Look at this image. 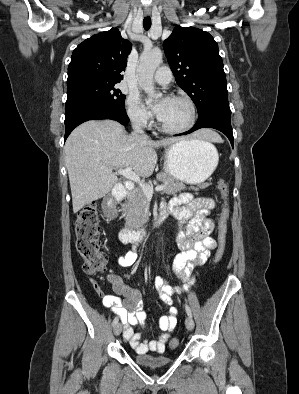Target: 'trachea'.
Here are the masks:
<instances>
[{
    "mask_svg": "<svg viewBox=\"0 0 299 394\" xmlns=\"http://www.w3.org/2000/svg\"><path fill=\"white\" fill-rule=\"evenodd\" d=\"M143 27L145 30H149L151 27V18L150 16H146L143 20Z\"/></svg>",
    "mask_w": 299,
    "mask_h": 394,
    "instance_id": "trachea-1",
    "label": "trachea"
}]
</instances>
